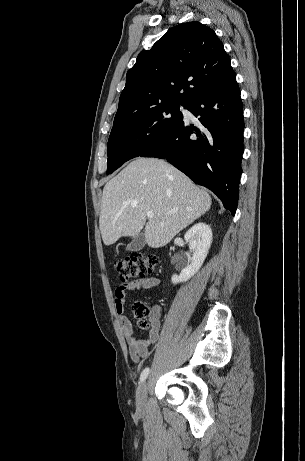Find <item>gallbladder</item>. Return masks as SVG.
Masks as SVG:
<instances>
[{
  "mask_svg": "<svg viewBox=\"0 0 305 461\" xmlns=\"http://www.w3.org/2000/svg\"><path fill=\"white\" fill-rule=\"evenodd\" d=\"M146 243L145 234L144 232H140L136 235L133 240L127 245L126 250L128 251H140Z\"/></svg>",
  "mask_w": 305,
  "mask_h": 461,
  "instance_id": "obj_1",
  "label": "gallbladder"
}]
</instances>
